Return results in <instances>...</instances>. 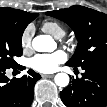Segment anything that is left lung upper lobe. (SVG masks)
I'll use <instances>...</instances> for the list:
<instances>
[{"instance_id":"obj_1","label":"left lung upper lobe","mask_w":107,"mask_h":107,"mask_svg":"<svg viewBox=\"0 0 107 107\" xmlns=\"http://www.w3.org/2000/svg\"><path fill=\"white\" fill-rule=\"evenodd\" d=\"M46 14L64 21L76 34L78 45L66 63L68 66L81 67L96 61H107L106 14L79 5Z\"/></svg>"}]
</instances>
